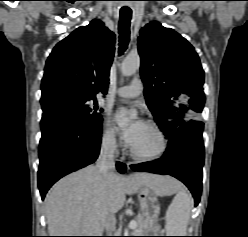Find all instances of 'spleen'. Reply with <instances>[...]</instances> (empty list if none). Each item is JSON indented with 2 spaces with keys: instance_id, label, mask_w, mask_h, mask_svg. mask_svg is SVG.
<instances>
[{
  "instance_id": "1",
  "label": "spleen",
  "mask_w": 248,
  "mask_h": 237,
  "mask_svg": "<svg viewBox=\"0 0 248 237\" xmlns=\"http://www.w3.org/2000/svg\"><path fill=\"white\" fill-rule=\"evenodd\" d=\"M175 191L176 196L166 212L165 230L167 236H185L193 203L183 187L177 186Z\"/></svg>"
}]
</instances>
